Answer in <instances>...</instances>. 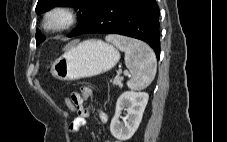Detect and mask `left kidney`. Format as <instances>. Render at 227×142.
<instances>
[{"label": "left kidney", "instance_id": "left-kidney-1", "mask_svg": "<svg viewBox=\"0 0 227 142\" xmlns=\"http://www.w3.org/2000/svg\"><path fill=\"white\" fill-rule=\"evenodd\" d=\"M149 99L146 92H123L116 103L115 115L111 120V134L118 140L125 141L130 139L138 129L142 116ZM127 114L124 123L120 121L122 110Z\"/></svg>", "mask_w": 227, "mask_h": 142}]
</instances>
